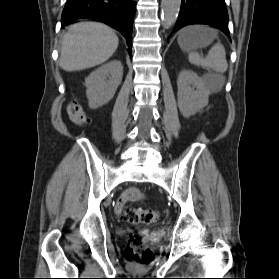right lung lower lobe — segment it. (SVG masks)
I'll use <instances>...</instances> for the list:
<instances>
[{"instance_id":"obj_1","label":"right lung lower lobe","mask_w":279,"mask_h":279,"mask_svg":"<svg viewBox=\"0 0 279 279\" xmlns=\"http://www.w3.org/2000/svg\"><path fill=\"white\" fill-rule=\"evenodd\" d=\"M136 3L133 0H67L61 21L62 27L79 18H92L119 30L132 46V25Z\"/></svg>"}]
</instances>
